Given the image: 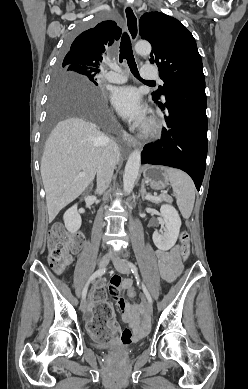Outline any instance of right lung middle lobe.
<instances>
[{
    "label": "right lung middle lobe",
    "instance_id": "right-lung-middle-lobe-1",
    "mask_svg": "<svg viewBox=\"0 0 248 389\" xmlns=\"http://www.w3.org/2000/svg\"><path fill=\"white\" fill-rule=\"evenodd\" d=\"M99 71L90 70L81 66L63 64L60 62L55 73L56 86H69L70 84L83 83L93 87L98 85L96 82ZM80 115L99 122L104 118V111L99 104H90L88 102L51 100L49 107L48 130L63 118Z\"/></svg>",
    "mask_w": 248,
    "mask_h": 389
}]
</instances>
